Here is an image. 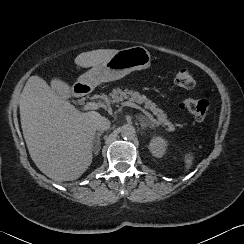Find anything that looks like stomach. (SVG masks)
Listing matches in <instances>:
<instances>
[{"instance_id":"stomach-1","label":"stomach","mask_w":244,"mask_h":244,"mask_svg":"<svg viewBox=\"0 0 244 244\" xmlns=\"http://www.w3.org/2000/svg\"><path fill=\"white\" fill-rule=\"evenodd\" d=\"M150 66L149 51L142 46H133L118 50L103 64L81 75L77 83L94 87L103 82L121 79L133 71L148 69Z\"/></svg>"}]
</instances>
